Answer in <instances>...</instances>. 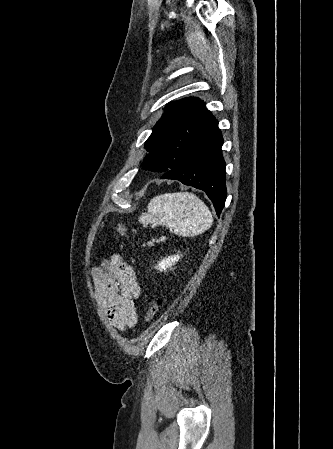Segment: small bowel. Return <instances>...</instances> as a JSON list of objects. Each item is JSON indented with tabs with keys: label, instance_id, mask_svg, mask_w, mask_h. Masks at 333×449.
Masks as SVG:
<instances>
[{
	"label": "small bowel",
	"instance_id": "small-bowel-1",
	"mask_svg": "<svg viewBox=\"0 0 333 449\" xmlns=\"http://www.w3.org/2000/svg\"><path fill=\"white\" fill-rule=\"evenodd\" d=\"M92 277L97 302L110 323L119 330L133 328L138 322L136 301L140 295L133 268L113 255L92 271Z\"/></svg>",
	"mask_w": 333,
	"mask_h": 449
}]
</instances>
